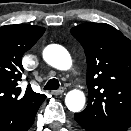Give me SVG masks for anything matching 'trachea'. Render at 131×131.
Returning <instances> with one entry per match:
<instances>
[{"mask_svg": "<svg viewBox=\"0 0 131 131\" xmlns=\"http://www.w3.org/2000/svg\"><path fill=\"white\" fill-rule=\"evenodd\" d=\"M60 84L59 81L55 78L50 79L46 85L44 86V89L46 90H57L59 88Z\"/></svg>", "mask_w": 131, "mask_h": 131, "instance_id": "trachea-1", "label": "trachea"}]
</instances>
